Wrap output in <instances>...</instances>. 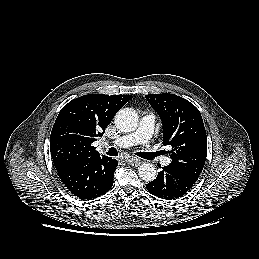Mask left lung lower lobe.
Listing matches in <instances>:
<instances>
[{
    "instance_id": "0a47b994",
    "label": "left lung lower lobe",
    "mask_w": 259,
    "mask_h": 259,
    "mask_svg": "<svg viewBox=\"0 0 259 259\" xmlns=\"http://www.w3.org/2000/svg\"><path fill=\"white\" fill-rule=\"evenodd\" d=\"M189 177L171 165L163 167L157 178L146 185L147 190L159 198L175 199L182 197L194 185Z\"/></svg>"
}]
</instances>
